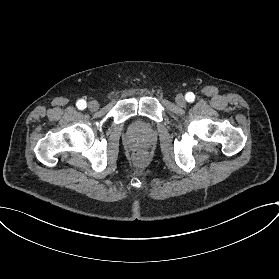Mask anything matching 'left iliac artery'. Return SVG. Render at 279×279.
I'll return each mask as SVG.
<instances>
[{
  "instance_id": "44dca946",
  "label": "left iliac artery",
  "mask_w": 279,
  "mask_h": 279,
  "mask_svg": "<svg viewBox=\"0 0 279 279\" xmlns=\"http://www.w3.org/2000/svg\"><path fill=\"white\" fill-rule=\"evenodd\" d=\"M185 99H186L188 102H193L194 99H195L194 93L188 92V93L185 95Z\"/></svg>"
}]
</instances>
